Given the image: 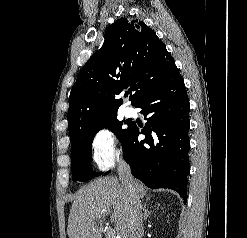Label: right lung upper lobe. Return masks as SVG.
Listing matches in <instances>:
<instances>
[{
    "mask_svg": "<svg viewBox=\"0 0 247 238\" xmlns=\"http://www.w3.org/2000/svg\"><path fill=\"white\" fill-rule=\"evenodd\" d=\"M104 43L81 69L70 93L68 128L71 146L90 128L115 116L116 99L129 87L132 106L161 85L176 68L165 44L144 22L120 18Z\"/></svg>",
    "mask_w": 247,
    "mask_h": 238,
    "instance_id": "right-lung-upper-lobe-1",
    "label": "right lung upper lobe"
}]
</instances>
